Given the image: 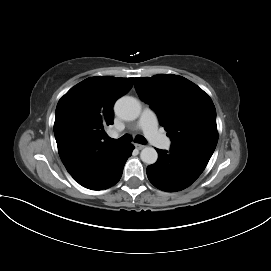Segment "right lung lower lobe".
Returning <instances> with one entry per match:
<instances>
[{
    "label": "right lung lower lobe",
    "instance_id": "right-lung-lower-lobe-1",
    "mask_svg": "<svg viewBox=\"0 0 271 271\" xmlns=\"http://www.w3.org/2000/svg\"><path fill=\"white\" fill-rule=\"evenodd\" d=\"M133 149L131 144L122 145L92 176L79 184L91 190L107 189L115 185L120 180L125 162Z\"/></svg>",
    "mask_w": 271,
    "mask_h": 271
}]
</instances>
